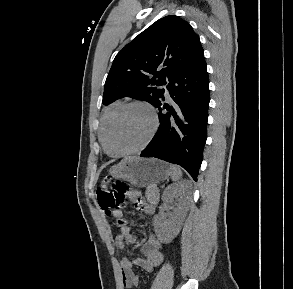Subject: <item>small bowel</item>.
<instances>
[{"label":"small bowel","instance_id":"1","mask_svg":"<svg viewBox=\"0 0 293 289\" xmlns=\"http://www.w3.org/2000/svg\"><path fill=\"white\" fill-rule=\"evenodd\" d=\"M133 197L136 200L137 206L142 209L145 214H154L155 208L153 205L143 203L136 195H133ZM112 215L116 221H123V212L121 210H115ZM136 241L137 238L135 233L131 227L126 224L120 227V230L115 237V243L120 249H124L126 244H134ZM161 249L162 242L155 234H151L147 242L141 244L142 257H138L133 261L126 257L122 259L121 276L122 282L127 289H133L139 283V278L133 271V264L147 271L153 270L163 262L164 255Z\"/></svg>","mask_w":293,"mask_h":289}]
</instances>
